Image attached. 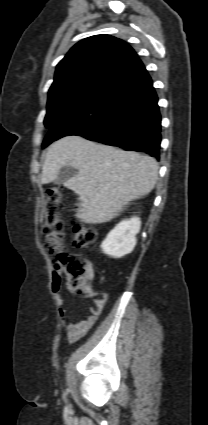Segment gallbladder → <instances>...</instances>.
Wrapping results in <instances>:
<instances>
[{
    "label": "gallbladder",
    "instance_id": "obj_1",
    "mask_svg": "<svg viewBox=\"0 0 208 425\" xmlns=\"http://www.w3.org/2000/svg\"><path fill=\"white\" fill-rule=\"evenodd\" d=\"M77 174V169L69 166L63 167L57 178L53 181L54 184H62L65 183L68 179L74 177Z\"/></svg>",
    "mask_w": 208,
    "mask_h": 425
}]
</instances>
